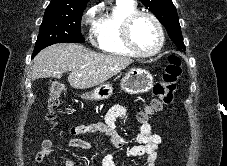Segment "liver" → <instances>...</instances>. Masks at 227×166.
I'll list each match as a JSON object with an SVG mask.
<instances>
[{
    "label": "liver",
    "mask_w": 227,
    "mask_h": 166,
    "mask_svg": "<svg viewBox=\"0 0 227 166\" xmlns=\"http://www.w3.org/2000/svg\"><path fill=\"white\" fill-rule=\"evenodd\" d=\"M132 62L130 58L96 53L78 44H54L34 58L31 78H61L71 71L69 84L75 89H87L103 84Z\"/></svg>",
    "instance_id": "1"
}]
</instances>
